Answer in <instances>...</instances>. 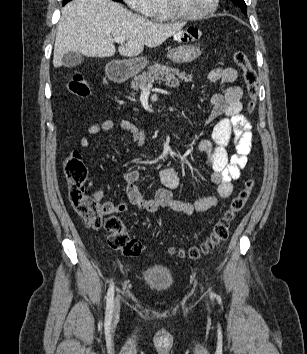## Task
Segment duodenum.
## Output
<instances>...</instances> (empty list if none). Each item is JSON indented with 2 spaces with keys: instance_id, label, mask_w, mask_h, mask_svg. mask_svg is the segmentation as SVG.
<instances>
[{
  "instance_id": "410a0bca",
  "label": "duodenum",
  "mask_w": 307,
  "mask_h": 354,
  "mask_svg": "<svg viewBox=\"0 0 307 354\" xmlns=\"http://www.w3.org/2000/svg\"><path fill=\"white\" fill-rule=\"evenodd\" d=\"M110 77L115 82H121L124 79V74L120 70H112L110 72Z\"/></svg>"
}]
</instances>
